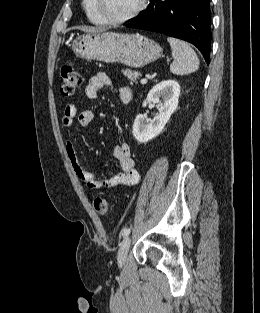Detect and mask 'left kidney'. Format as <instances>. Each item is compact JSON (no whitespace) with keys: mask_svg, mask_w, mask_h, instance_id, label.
<instances>
[{"mask_svg":"<svg viewBox=\"0 0 260 313\" xmlns=\"http://www.w3.org/2000/svg\"><path fill=\"white\" fill-rule=\"evenodd\" d=\"M180 85L175 80H165L154 86L143 102L157 105L158 115L148 121L142 114L137 115L133 124V136L138 142L146 143L158 136L176 111L179 103Z\"/></svg>","mask_w":260,"mask_h":313,"instance_id":"1","label":"left kidney"}]
</instances>
